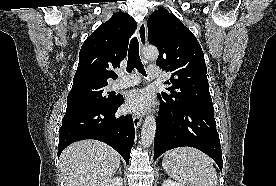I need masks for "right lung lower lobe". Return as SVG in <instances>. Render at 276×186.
<instances>
[{"mask_svg":"<svg viewBox=\"0 0 276 186\" xmlns=\"http://www.w3.org/2000/svg\"><path fill=\"white\" fill-rule=\"evenodd\" d=\"M123 102V97L118 96L107 107L67 111L59 130L58 157L68 145L75 141L95 139L110 145L128 163L134 143L135 128L131 115L119 117L115 115Z\"/></svg>","mask_w":276,"mask_h":186,"instance_id":"obj_1","label":"right lung lower lobe"}]
</instances>
